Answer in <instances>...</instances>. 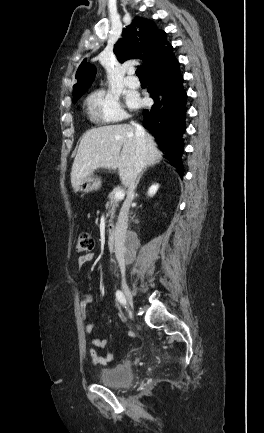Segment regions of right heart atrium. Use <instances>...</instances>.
I'll return each mask as SVG.
<instances>
[{
	"instance_id": "d8ad5b80",
	"label": "right heart atrium",
	"mask_w": 264,
	"mask_h": 433,
	"mask_svg": "<svg viewBox=\"0 0 264 433\" xmlns=\"http://www.w3.org/2000/svg\"><path fill=\"white\" fill-rule=\"evenodd\" d=\"M87 107L91 117L98 122L114 123L127 118L119 97L110 91L92 92L87 99Z\"/></svg>"
}]
</instances>
